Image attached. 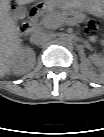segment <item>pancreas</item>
Wrapping results in <instances>:
<instances>
[{
  "mask_svg": "<svg viewBox=\"0 0 104 137\" xmlns=\"http://www.w3.org/2000/svg\"><path fill=\"white\" fill-rule=\"evenodd\" d=\"M74 15L76 13L68 12H51L46 14L42 19L40 24L48 29H57L62 25L66 24L69 15ZM76 19V18H75Z\"/></svg>",
  "mask_w": 104,
  "mask_h": 137,
  "instance_id": "obj_1",
  "label": "pancreas"
}]
</instances>
